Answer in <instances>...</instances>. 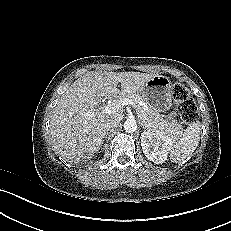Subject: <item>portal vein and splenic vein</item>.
Returning a JSON list of instances; mask_svg holds the SVG:
<instances>
[{"instance_id": "18ae733b", "label": "portal vein and splenic vein", "mask_w": 231, "mask_h": 231, "mask_svg": "<svg viewBox=\"0 0 231 231\" xmlns=\"http://www.w3.org/2000/svg\"><path fill=\"white\" fill-rule=\"evenodd\" d=\"M126 105L134 106V102L126 98L121 99L117 102H112L102 107V112L105 114H113L120 111Z\"/></svg>"}]
</instances>
